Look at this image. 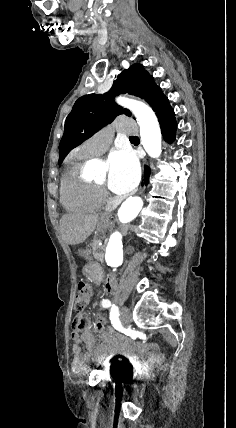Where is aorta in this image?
<instances>
[{
	"mask_svg": "<svg viewBox=\"0 0 236 428\" xmlns=\"http://www.w3.org/2000/svg\"><path fill=\"white\" fill-rule=\"evenodd\" d=\"M117 103L128 108L136 117L140 127L141 143L152 158L161 155V130L157 117L153 110L143 102L118 97ZM143 207L140 197L128 198L118 210V218L121 223H128L135 219ZM106 262L111 267H119L123 263L122 234L115 231L111 234L106 246Z\"/></svg>",
	"mask_w": 236,
	"mask_h": 428,
	"instance_id": "1",
	"label": "aorta"
}]
</instances>
